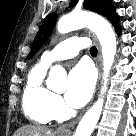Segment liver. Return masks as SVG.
I'll use <instances>...</instances> for the list:
<instances>
[{
    "mask_svg": "<svg viewBox=\"0 0 136 136\" xmlns=\"http://www.w3.org/2000/svg\"><path fill=\"white\" fill-rule=\"evenodd\" d=\"M14 136H54V133L42 126L26 125L19 128Z\"/></svg>",
    "mask_w": 136,
    "mask_h": 136,
    "instance_id": "obj_1",
    "label": "liver"
}]
</instances>
